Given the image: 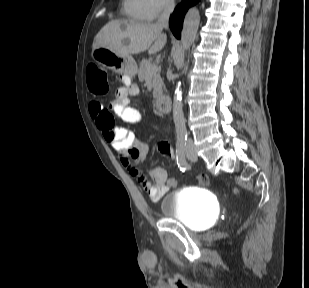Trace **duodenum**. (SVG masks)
I'll list each match as a JSON object with an SVG mask.
<instances>
[{
  "instance_id": "obj_1",
  "label": "duodenum",
  "mask_w": 309,
  "mask_h": 288,
  "mask_svg": "<svg viewBox=\"0 0 309 288\" xmlns=\"http://www.w3.org/2000/svg\"><path fill=\"white\" fill-rule=\"evenodd\" d=\"M156 106L159 111L167 113L171 109V100L167 96L160 97L156 100Z\"/></svg>"
}]
</instances>
